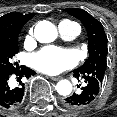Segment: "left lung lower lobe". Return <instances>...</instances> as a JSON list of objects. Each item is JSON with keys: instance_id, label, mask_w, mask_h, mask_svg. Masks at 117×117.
Returning <instances> with one entry per match:
<instances>
[{"instance_id": "left-lung-lower-lobe-1", "label": "left lung lower lobe", "mask_w": 117, "mask_h": 117, "mask_svg": "<svg viewBox=\"0 0 117 117\" xmlns=\"http://www.w3.org/2000/svg\"><path fill=\"white\" fill-rule=\"evenodd\" d=\"M74 76L77 78H84L86 85L81 88L82 91L80 93H74L73 95L66 97L63 100V105L70 109L89 106L97 98L101 84L93 76H83L76 71H74Z\"/></svg>"}]
</instances>
